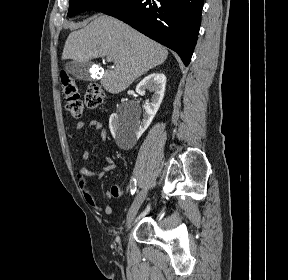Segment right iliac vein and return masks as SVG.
Returning <instances> with one entry per match:
<instances>
[{"label":"right iliac vein","instance_id":"1","mask_svg":"<svg viewBox=\"0 0 288 280\" xmlns=\"http://www.w3.org/2000/svg\"><path fill=\"white\" fill-rule=\"evenodd\" d=\"M147 192H148L147 189L144 188L137 193V195H136V197H135V199H134V201H133V203H132V205L128 211V214H127V218H126V227L127 228L131 225V223L135 219L142 203L144 202V200L147 196Z\"/></svg>","mask_w":288,"mask_h":280}]
</instances>
